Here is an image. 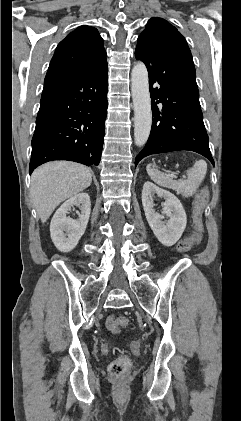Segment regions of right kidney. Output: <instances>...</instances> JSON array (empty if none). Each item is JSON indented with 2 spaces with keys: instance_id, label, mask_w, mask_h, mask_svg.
<instances>
[{
  "instance_id": "ca27d5eb",
  "label": "right kidney",
  "mask_w": 241,
  "mask_h": 421,
  "mask_svg": "<svg viewBox=\"0 0 241 421\" xmlns=\"http://www.w3.org/2000/svg\"><path fill=\"white\" fill-rule=\"evenodd\" d=\"M74 206L81 211L76 220L67 216ZM90 211L91 202L87 193L76 194L60 206L50 223L51 239L57 249L69 252L76 247L86 230Z\"/></svg>"
}]
</instances>
